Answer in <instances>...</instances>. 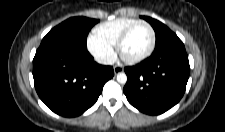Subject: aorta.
I'll use <instances>...</instances> for the list:
<instances>
[{"label": "aorta", "instance_id": "1", "mask_svg": "<svg viewBox=\"0 0 225 132\" xmlns=\"http://www.w3.org/2000/svg\"><path fill=\"white\" fill-rule=\"evenodd\" d=\"M117 81L121 84H125L127 82V76L125 73L121 72L117 74Z\"/></svg>", "mask_w": 225, "mask_h": 132}]
</instances>
